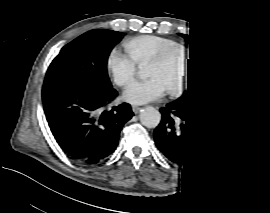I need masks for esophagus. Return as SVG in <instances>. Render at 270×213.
Listing matches in <instances>:
<instances>
[{"label": "esophagus", "instance_id": "1", "mask_svg": "<svg viewBox=\"0 0 270 213\" xmlns=\"http://www.w3.org/2000/svg\"><path fill=\"white\" fill-rule=\"evenodd\" d=\"M141 109V107L137 106V105H132V111L136 114L139 112V110Z\"/></svg>", "mask_w": 270, "mask_h": 213}]
</instances>
